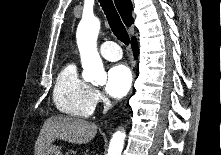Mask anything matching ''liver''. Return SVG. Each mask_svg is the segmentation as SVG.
Returning a JSON list of instances; mask_svg holds the SVG:
<instances>
[{"mask_svg":"<svg viewBox=\"0 0 221 155\" xmlns=\"http://www.w3.org/2000/svg\"><path fill=\"white\" fill-rule=\"evenodd\" d=\"M97 129L96 124L80 118L63 115L51 116L44 122L36 140L34 155H43L55 140L85 144L94 138Z\"/></svg>","mask_w":221,"mask_h":155,"instance_id":"obj_1","label":"liver"}]
</instances>
